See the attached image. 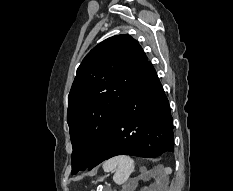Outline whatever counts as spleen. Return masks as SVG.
Listing matches in <instances>:
<instances>
[{
  "instance_id": "3e777b00",
  "label": "spleen",
  "mask_w": 233,
  "mask_h": 191,
  "mask_svg": "<svg viewBox=\"0 0 233 191\" xmlns=\"http://www.w3.org/2000/svg\"><path fill=\"white\" fill-rule=\"evenodd\" d=\"M103 170L105 172H114V182L122 185L127 182L134 170V160L129 156H116L103 163Z\"/></svg>"
}]
</instances>
